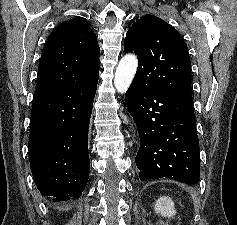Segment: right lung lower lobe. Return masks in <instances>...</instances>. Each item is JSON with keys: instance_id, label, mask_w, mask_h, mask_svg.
<instances>
[{"instance_id": "1", "label": "right lung lower lobe", "mask_w": 237, "mask_h": 225, "mask_svg": "<svg viewBox=\"0 0 237 225\" xmlns=\"http://www.w3.org/2000/svg\"><path fill=\"white\" fill-rule=\"evenodd\" d=\"M98 79L34 98L28 149L34 182L53 201L78 199L88 181V128Z\"/></svg>"}]
</instances>
